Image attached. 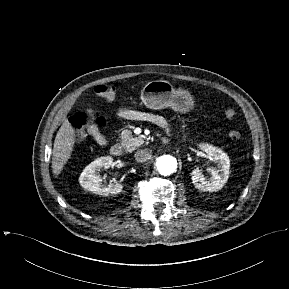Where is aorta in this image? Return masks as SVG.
<instances>
[{
  "mask_svg": "<svg viewBox=\"0 0 289 289\" xmlns=\"http://www.w3.org/2000/svg\"><path fill=\"white\" fill-rule=\"evenodd\" d=\"M156 167L161 175H170L176 172L178 161L176 157L171 155H162L156 160Z\"/></svg>",
  "mask_w": 289,
  "mask_h": 289,
  "instance_id": "obj_1",
  "label": "aorta"
}]
</instances>
